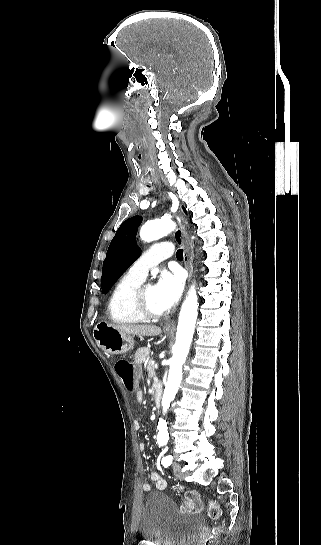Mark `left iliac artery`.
Returning <instances> with one entry per match:
<instances>
[{
  "label": "left iliac artery",
  "instance_id": "1",
  "mask_svg": "<svg viewBox=\"0 0 321 545\" xmlns=\"http://www.w3.org/2000/svg\"><path fill=\"white\" fill-rule=\"evenodd\" d=\"M172 461H173V457L169 455L164 457L161 463L163 464L164 467H168L172 464Z\"/></svg>",
  "mask_w": 321,
  "mask_h": 545
}]
</instances>
